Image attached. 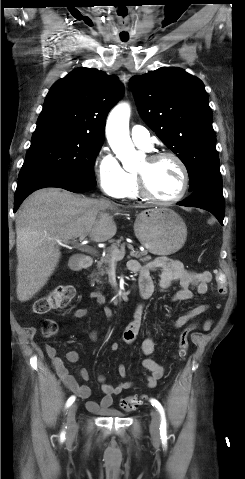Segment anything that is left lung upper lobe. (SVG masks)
<instances>
[{
    "label": "left lung upper lobe",
    "instance_id": "left-lung-upper-lobe-1",
    "mask_svg": "<svg viewBox=\"0 0 245 479\" xmlns=\"http://www.w3.org/2000/svg\"><path fill=\"white\" fill-rule=\"evenodd\" d=\"M143 120L187 168L194 191L219 177L213 115L202 81L177 67H162L130 80Z\"/></svg>",
    "mask_w": 245,
    "mask_h": 479
}]
</instances>
